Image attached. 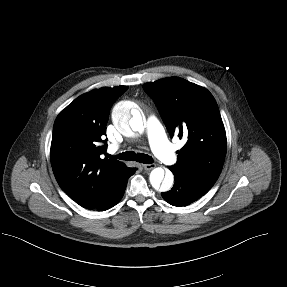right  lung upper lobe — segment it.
I'll list each match as a JSON object with an SVG mask.
<instances>
[{
  "label": "right lung upper lobe",
  "mask_w": 287,
  "mask_h": 287,
  "mask_svg": "<svg viewBox=\"0 0 287 287\" xmlns=\"http://www.w3.org/2000/svg\"><path fill=\"white\" fill-rule=\"evenodd\" d=\"M126 86L103 87L76 98L57 116L50 150L61 189L80 206L93 209L107 201L132 168L104 158L106 125L112 104Z\"/></svg>",
  "instance_id": "right-lung-upper-lobe-1"
}]
</instances>
